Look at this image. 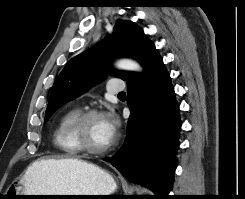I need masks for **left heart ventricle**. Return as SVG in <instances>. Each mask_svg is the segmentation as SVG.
<instances>
[{
    "instance_id": "1",
    "label": "left heart ventricle",
    "mask_w": 245,
    "mask_h": 199,
    "mask_svg": "<svg viewBox=\"0 0 245 199\" xmlns=\"http://www.w3.org/2000/svg\"><path fill=\"white\" fill-rule=\"evenodd\" d=\"M82 136L85 142L91 147L101 148L109 145L111 139L108 137L106 131L105 117L95 116L89 119L85 125ZM71 137L73 139V136Z\"/></svg>"
}]
</instances>
